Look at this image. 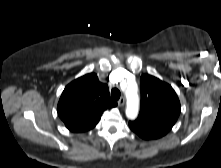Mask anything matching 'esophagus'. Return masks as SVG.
I'll return each instance as SVG.
<instances>
[{"label": "esophagus", "mask_w": 221, "mask_h": 168, "mask_svg": "<svg viewBox=\"0 0 221 168\" xmlns=\"http://www.w3.org/2000/svg\"><path fill=\"white\" fill-rule=\"evenodd\" d=\"M124 104H125V98H124V97H121V98L118 100V105H119L120 107H122V106H124Z\"/></svg>", "instance_id": "34e87169"}]
</instances>
